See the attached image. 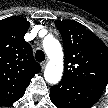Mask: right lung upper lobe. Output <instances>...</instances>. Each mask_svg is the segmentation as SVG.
<instances>
[{
  "label": "right lung upper lobe",
  "mask_w": 108,
  "mask_h": 108,
  "mask_svg": "<svg viewBox=\"0 0 108 108\" xmlns=\"http://www.w3.org/2000/svg\"><path fill=\"white\" fill-rule=\"evenodd\" d=\"M29 22L19 16L0 21V105L20 99L32 77L41 71L24 40Z\"/></svg>",
  "instance_id": "right-lung-upper-lobe-1"
}]
</instances>
